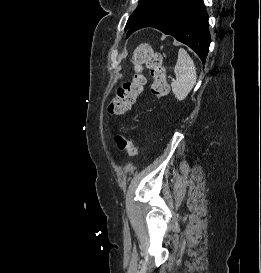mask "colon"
<instances>
[{
  "mask_svg": "<svg viewBox=\"0 0 261 273\" xmlns=\"http://www.w3.org/2000/svg\"><path fill=\"white\" fill-rule=\"evenodd\" d=\"M131 64L134 73L131 79L125 81L118 89L116 95L108 105V112L111 115H122L126 113L138 95L144 89L146 78L142 72L146 67L153 79L151 85L152 94L158 98H163L168 91L163 57L161 53L155 51L149 44L138 45L131 56ZM117 148L126 151L131 156L138 154V148L134 142L123 135L117 134L114 138Z\"/></svg>",
  "mask_w": 261,
  "mask_h": 273,
  "instance_id": "obj_1",
  "label": "colon"
}]
</instances>
